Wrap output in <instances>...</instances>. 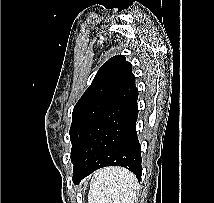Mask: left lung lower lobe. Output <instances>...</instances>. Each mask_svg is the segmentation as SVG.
I'll return each mask as SVG.
<instances>
[{"label": "left lung lower lobe", "mask_w": 214, "mask_h": 203, "mask_svg": "<svg viewBox=\"0 0 214 203\" xmlns=\"http://www.w3.org/2000/svg\"><path fill=\"white\" fill-rule=\"evenodd\" d=\"M138 89L135 76L86 131L72 160L73 182L106 166H121L141 179V146L136 134Z\"/></svg>", "instance_id": "0a47b994"}]
</instances>
